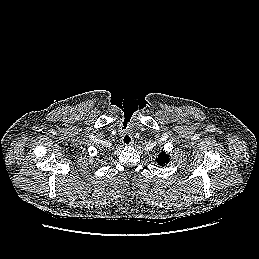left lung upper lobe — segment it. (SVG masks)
Here are the masks:
<instances>
[{
  "label": "left lung upper lobe",
  "instance_id": "5c2ea615",
  "mask_svg": "<svg viewBox=\"0 0 259 259\" xmlns=\"http://www.w3.org/2000/svg\"><path fill=\"white\" fill-rule=\"evenodd\" d=\"M156 162L158 163V165L160 166H164L169 162V155L165 154V152L162 150L161 153H159Z\"/></svg>",
  "mask_w": 259,
  "mask_h": 259
}]
</instances>
